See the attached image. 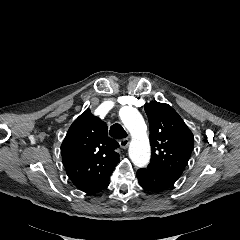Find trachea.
Here are the masks:
<instances>
[{
    "instance_id": "1",
    "label": "trachea",
    "mask_w": 240,
    "mask_h": 240,
    "mask_svg": "<svg viewBox=\"0 0 240 240\" xmlns=\"http://www.w3.org/2000/svg\"><path fill=\"white\" fill-rule=\"evenodd\" d=\"M109 134L115 139H123L128 136L124 128L118 123L110 127Z\"/></svg>"
}]
</instances>
